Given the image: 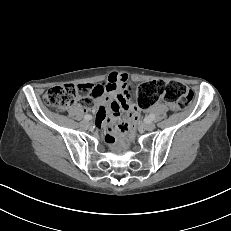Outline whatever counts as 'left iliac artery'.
I'll use <instances>...</instances> for the list:
<instances>
[{
	"instance_id": "1",
	"label": "left iliac artery",
	"mask_w": 231,
	"mask_h": 231,
	"mask_svg": "<svg viewBox=\"0 0 231 231\" xmlns=\"http://www.w3.org/2000/svg\"><path fill=\"white\" fill-rule=\"evenodd\" d=\"M147 119H148L149 121H153V120L155 119V116H154L153 114H150V115L147 117Z\"/></svg>"
}]
</instances>
